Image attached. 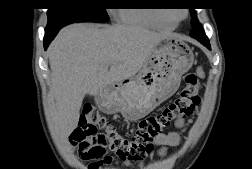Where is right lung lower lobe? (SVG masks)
Wrapping results in <instances>:
<instances>
[{
    "instance_id": "right-lung-lower-lobe-1",
    "label": "right lung lower lobe",
    "mask_w": 252,
    "mask_h": 169,
    "mask_svg": "<svg viewBox=\"0 0 252 169\" xmlns=\"http://www.w3.org/2000/svg\"><path fill=\"white\" fill-rule=\"evenodd\" d=\"M61 29V28H60ZM60 29L45 31L44 48L47 49L50 42L55 38Z\"/></svg>"
}]
</instances>
